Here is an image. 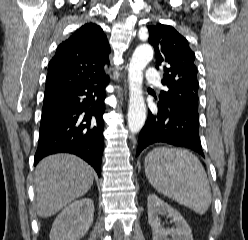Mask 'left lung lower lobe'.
<instances>
[{
    "label": "left lung lower lobe",
    "instance_id": "left-lung-lower-lobe-1",
    "mask_svg": "<svg viewBox=\"0 0 248 240\" xmlns=\"http://www.w3.org/2000/svg\"><path fill=\"white\" fill-rule=\"evenodd\" d=\"M155 143L187 148L204 157L199 137L198 109L176 108L158 103V112L149 111L146 123L139 134L137 155Z\"/></svg>",
    "mask_w": 248,
    "mask_h": 240
}]
</instances>
